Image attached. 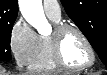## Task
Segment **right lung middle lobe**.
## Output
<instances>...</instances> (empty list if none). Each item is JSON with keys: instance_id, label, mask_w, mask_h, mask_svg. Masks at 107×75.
I'll use <instances>...</instances> for the list:
<instances>
[{"instance_id": "1", "label": "right lung middle lobe", "mask_w": 107, "mask_h": 75, "mask_svg": "<svg viewBox=\"0 0 107 75\" xmlns=\"http://www.w3.org/2000/svg\"><path fill=\"white\" fill-rule=\"evenodd\" d=\"M13 23L0 24V60H11L10 40Z\"/></svg>"}]
</instances>
